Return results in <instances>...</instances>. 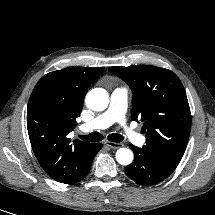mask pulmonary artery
<instances>
[{"instance_id": "obj_1", "label": "pulmonary artery", "mask_w": 215, "mask_h": 215, "mask_svg": "<svg viewBox=\"0 0 215 215\" xmlns=\"http://www.w3.org/2000/svg\"><path fill=\"white\" fill-rule=\"evenodd\" d=\"M128 89L125 87L115 88L110 96L109 107L106 111L95 117L92 121L80 126L82 132L105 129L114 123L124 126L125 136L136 145L145 143V137L134 129L125 125V113L127 109Z\"/></svg>"}]
</instances>
